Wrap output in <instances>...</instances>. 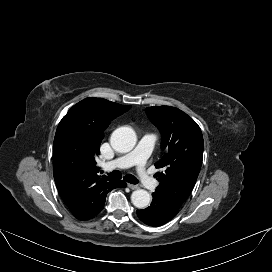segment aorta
Here are the masks:
<instances>
[{"label":"aorta","mask_w":272,"mask_h":272,"mask_svg":"<svg viewBox=\"0 0 272 272\" xmlns=\"http://www.w3.org/2000/svg\"><path fill=\"white\" fill-rule=\"evenodd\" d=\"M136 141L137 137L135 131L126 126L117 128L110 138L112 148L119 153L131 151L134 148ZM150 200V194L143 189L135 190L131 195L132 204L139 209L148 207Z\"/></svg>","instance_id":"obj_1"}]
</instances>
